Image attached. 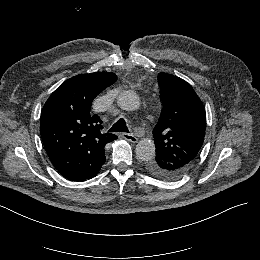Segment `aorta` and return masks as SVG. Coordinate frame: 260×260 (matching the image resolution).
Here are the masks:
<instances>
[{
    "label": "aorta",
    "instance_id": "aorta-1",
    "mask_svg": "<svg viewBox=\"0 0 260 260\" xmlns=\"http://www.w3.org/2000/svg\"><path fill=\"white\" fill-rule=\"evenodd\" d=\"M117 104L122 110L135 111L140 107V100L133 91H123L117 98ZM155 144L150 139H142L136 145V155L141 161H150L155 156Z\"/></svg>",
    "mask_w": 260,
    "mask_h": 260
}]
</instances>
